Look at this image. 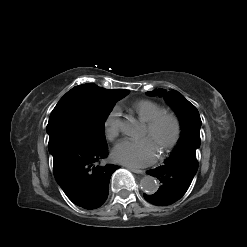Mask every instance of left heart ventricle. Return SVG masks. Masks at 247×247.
<instances>
[{"label":"left heart ventricle","mask_w":247,"mask_h":247,"mask_svg":"<svg viewBox=\"0 0 247 247\" xmlns=\"http://www.w3.org/2000/svg\"><path fill=\"white\" fill-rule=\"evenodd\" d=\"M172 134V125L170 122L164 123L154 134H149L147 128H145L144 136L149 137L156 147L160 149L163 143H165Z\"/></svg>","instance_id":"left-heart-ventricle-1"}]
</instances>
